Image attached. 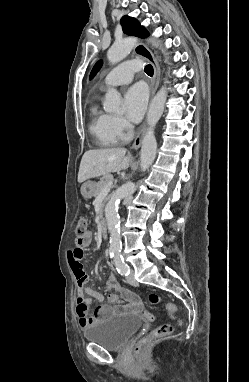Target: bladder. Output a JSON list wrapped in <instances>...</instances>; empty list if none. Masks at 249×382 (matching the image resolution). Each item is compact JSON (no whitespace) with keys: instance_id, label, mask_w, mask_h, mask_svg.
Returning <instances> with one entry per match:
<instances>
[{"instance_id":"obj_1","label":"bladder","mask_w":249,"mask_h":382,"mask_svg":"<svg viewBox=\"0 0 249 382\" xmlns=\"http://www.w3.org/2000/svg\"><path fill=\"white\" fill-rule=\"evenodd\" d=\"M143 325V319L137 315H118L93 323L84 329L83 335L86 341L107 350H120Z\"/></svg>"}]
</instances>
